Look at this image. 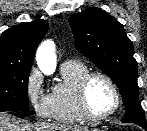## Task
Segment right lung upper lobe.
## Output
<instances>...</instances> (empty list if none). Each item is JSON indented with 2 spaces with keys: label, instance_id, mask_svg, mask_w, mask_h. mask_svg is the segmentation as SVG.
I'll list each match as a JSON object with an SVG mask.
<instances>
[{
  "label": "right lung upper lobe",
  "instance_id": "cb5924a9",
  "mask_svg": "<svg viewBox=\"0 0 147 131\" xmlns=\"http://www.w3.org/2000/svg\"><path fill=\"white\" fill-rule=\"evenodd\" d=\"M48 30L44 20L21 23L0 39V67L31 68L36 48Z\"/></svg>",
  "mask_w": 147,
  "mask_h": 131
}]
</instances>
